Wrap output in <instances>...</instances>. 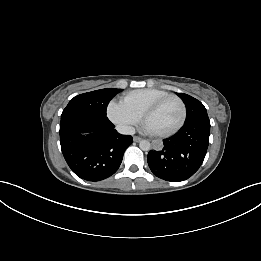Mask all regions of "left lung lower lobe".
Returning a JSON list of instances; mask_svg holds the SVG:
<instances>
[{"mask_svg": "<svg viewBox=\"0 0 261 261\" xmlns=\"http://www.w3.org/2000/svg\"><path fill=\"white\" fill-rule=\"evenodd\" d=\"M210 121L201 119L184 124L163 146L148 153L152 173L166 181L178 182L191 177L201 166L209 144Z\"/></svg>", "mask_w": 261, "mask_h": 261, "instance_id": "0a47b994", "label": "left lung lower lobe"}]
</instances>
